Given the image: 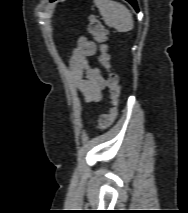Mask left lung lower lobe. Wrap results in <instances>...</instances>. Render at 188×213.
<instances>
[{
	"mask_svg": "<svg viewBox=\"0 0 188 213\" xmlns=\"http://www.w3.org/2000/svg\"><path fill=\"white\" fill-rule=\"evenodd\" d=\"M51 1H55V0H51ZM126 1H128L138 11L136 0H126Z\"/></svg>",
	"mask_w": 188,
	"mask_h": 213,
	"instance_id": "1",
	"label": "left lung lower lobe"
}]
</instances>
